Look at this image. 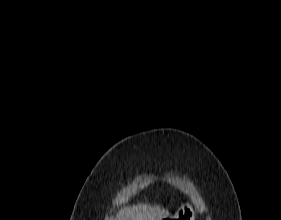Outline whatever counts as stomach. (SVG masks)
I'll use <instances>...</instances> for the list:
<instances>
[{
	"instance_id": "obj_1",
	"label": "stomach",
	"mask_w": 281,
	"mask_h": 220,
	"mask_svg": "<svg viewBox=\"0 0 281 220\" xmlns=\"http://www.w3.org/2000/svg\"><path fill=\"white\" fill-rule=\"evenodd\" d=\"M165 220H194V211L189 203H184L174 216H168Z\"/></svg>"
}]
</instances>
